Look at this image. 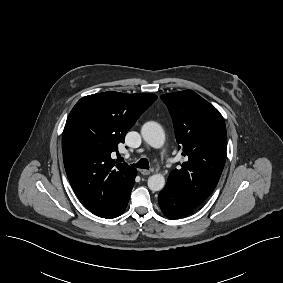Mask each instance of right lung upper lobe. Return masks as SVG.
I'll return each mask as SVG.
<instances>
[{"label":"right lung upper lobe","mask_w":283,"mask_h":283,"mask_svg":"<svg viewBox=\"0 0 283 283\" xmlns=\"http://www.w3.org/2000/svg\"><path fill=\"white\" fill-rule=\"evenodd\" d=\"M156 99L108 91L81 98L71 110L62 135L64 166L76 195L94 215L110 212L133 186L136 169L115 162L111 153Z\"/></svg>","instance_id":"cb5924a9"}]
</instances>
